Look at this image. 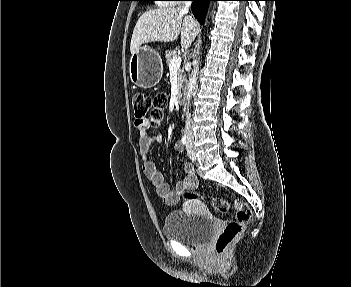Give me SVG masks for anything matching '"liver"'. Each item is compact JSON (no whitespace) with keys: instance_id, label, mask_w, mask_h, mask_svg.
I'll use <instances>...</instances> for the list:
<instances>
[{"instance_id":"obj_1","label":"liver","mask_w":351,"mask_h":287,"mask_svg":"<svg viewBox=\"0 0 351 287\" xmlns=\"http://www.w3.org/2000/svg\"><path fill=\"white\" fill-rule=\"evenodd\" d=\"M199 33L198 23L181 7L149 10L138 19L133 30L130 51L150 42H172L181 34V45L190 47Z\"/></svg>"}]
</instances>
